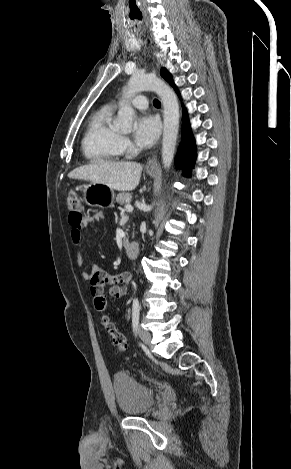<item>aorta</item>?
Here are the masks:
<instances>
[{
    "instance_id": "762f6f07",
    "label": "aorta",
    "mask_w": 291,
    "mask_h": 469,
    "mask_svg": "<svg viewBox=\"0 0 291 469\" xmlns=\"http://www.w3.org/2000/svg\"><path fill=\"white\" fill-rule=\"evenodd\" d=\"M143 90L154 91L163 104L162 163L165 169H169L174 159L180 114L176 95L164 81L153 75L133 74L128 81L127 88L123 91L124 103L118 111L114 126L122 131L131 130L135 113L128 99Z\"/></svg>"
}]
</instances>
